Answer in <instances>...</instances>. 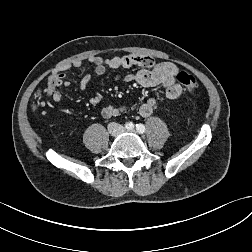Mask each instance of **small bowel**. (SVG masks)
I'll list each match as a JSON object with an SVG mask.
<instances>
[{"mask_svg": "<svg viewBox=\"0 0 252 252\" xmlns=\"http://www.w3.org/2000/svg\"><path fill=\"white\" fill-rule=\"evenodd\" d=\"M88 62L93 65L94 72L97 75L105 73L107 68L119 69V68H131L140 67L141 69L136 73H130L124 76L117 75L116 79L124 82H134L143 87H155L162 86L165 88V95L169 100H175L182 94V86L176 81L178 68L174 63L161 62L157 63L153 58L149 56H143L138 54H127L120 57H113L105 59L101 56H90ZM78 68L82 66L81 60H76L72 64ZM70 65L64 66L62 69H68ZM64 73L62 70L53 73L48 78L46 87V94L52 98L55 103L62 101V95L59 91V87L64 85L68 87L70 82L64 81ZM91 81V73H86L81 78L79 84V90L82 92L86 89ZM156 106V100L154 98H148L139 107V113L143 117H148L152 114ZM126 111L124 106L109 105L101 110V115L104 118L116 117Z\"/></svg>", "mask_w": 252, "mask_h": 252, "instance_id": "1", "label": "small bowel"}]
</instances>
